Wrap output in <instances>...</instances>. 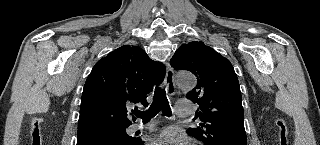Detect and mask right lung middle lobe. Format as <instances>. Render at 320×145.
Returning <instances> with one entry per match:
<instances>
[{"instance_id": "dd1d6c3e", "label": "right lung middle lobe", "mask_w": 320, "mask_h": 145, "mask_svg": "<svg viewBox=\"0 0 320 145\" xmlns=\"http://www.w3.org/2000/svg\"><path fill=\"white\" fill-rule=\"evenodd\" d=\"M126 127H112V128H103L101 129L104 132L110 133L122 139L128 140L131 137L128 136L125 132Z\"/></svg>"}]
</instances>
